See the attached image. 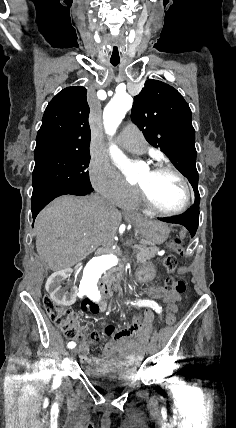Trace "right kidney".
<instances>
[{"label": "right kidney", "mask_w": 236, "mask_h": 428, "mask_svg": "<svg viewBox=\"0 0 236 428\" xmlns=\"http://www.w3.org/2000/svg\"><path fill=\"white\" fill-rule=\"evenodd\" d=\"M75 269H54L48 278L47 290L52 292L51 300L55 306H71L75 302L74 292L78 291L77 283H66L68 278L76 277Z\"/></svg>", "instance_id": "ca27d5eb"}]
</instances>
